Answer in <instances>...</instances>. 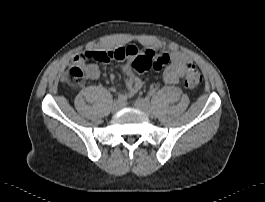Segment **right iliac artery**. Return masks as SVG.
Masks as SVG:
<instances>
[{
    "mask_svg": "<svg viewBox=\"0 0 265 202\" xmlns=\"http://www.w3.org/2000/svg\"><path fill=\"white\" fill-rule=\"evenodd\" d=\"M117 101H118L119 103H122V102L124 101V97H123L122 95H119V96L117 97Z\"/></svg>",
    "mask_w": 265,
    "mask_h": 202,
    "instance_id": "1",
    "label": "right iliac artery"
}]
</instances>
